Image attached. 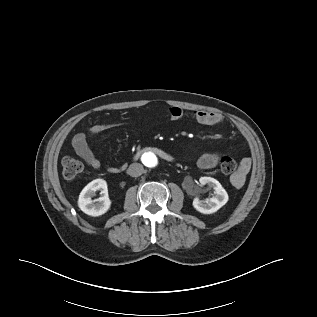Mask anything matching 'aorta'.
I'll list each match as a JSON object with an SVG mask.
<instances>
[{
  "label": "aorta",
  "mask_w": 317,
  "mask_h": 317,
  "mask_svg": "<svg viewBox=\"0 0 317 317\" xmlns=\"http://www.w3.org/2000/svg\"><path fill=\"white\" fill-rule=\"evenodd\" d=\"M142 162L146 167L153 168L158 164V159L154 153L149 152L142 156Z\"/></svg>",
  "instance_id": "obj_1"
}]
</instances>
